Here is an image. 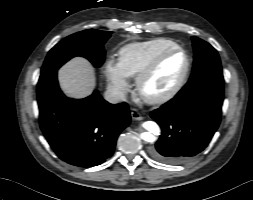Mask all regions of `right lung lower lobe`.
<instances>
[{
  "mask_svg": "<svg viewBox=\"0 0 253 200\" xmlns=\"http://www.w3.org/2000/svg\"><path fill=\"white\" fill-rule=\"evenodd\" d=\"M37 100L48 143L60 159L74 166L103 163L131 121L126 104H110L98 91L84 99L67 98L58 86L57 70L40 75Z\"/></svg>",
  "mask_w": 253,
  "mask_h": 200,
  "instance_id": "right-lung-lower-lobe-1",
  "label": "right lung lower lobe"
}]
</instances>
